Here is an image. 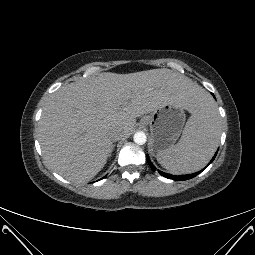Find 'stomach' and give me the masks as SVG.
Here are the masks:
<instances>
[{
  "mask_svg": "<svg viewBox=\"0 0 255 255\" xmlns=\"http://www.w3.org/2000/svg\"><path fill=\"white\" fill-rule=\"evenodd\" d=\"M153 121L150 125V152L158 155L170 148L182 131L185 123L184 108L176 103H165L151 112Z\"/></svg>",
  "mask_w": 255,
  "mask_h": 255,
  "instance_id": "1",
  "label": "stomach"
}]
</instances>
